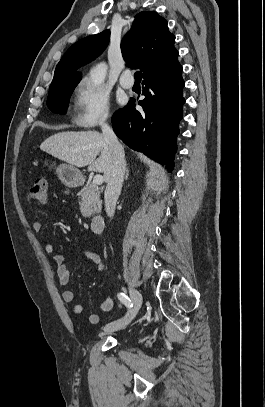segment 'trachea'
I'll return each mask as SVG.
<instances>
[{
    "mask_svg": "<svg viewBox=\"0 0 265 407\" xmlns=\"http://www.w3.org/2000/svg\"><path fill=\"white\" fill-rule=\"evenodd\" d=\"M141 76H142V73L141 72H135V74H134V78H135V80H139V81H141Z\"/></svg>",
    "mask_w": 265,
    "mask_h": 407,
    "instance_id": "3493384b",
    "label": "trachea"
}]
</instances>
